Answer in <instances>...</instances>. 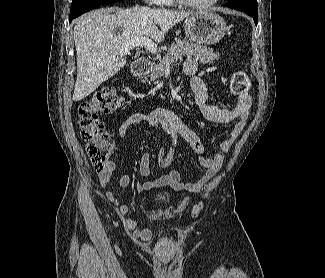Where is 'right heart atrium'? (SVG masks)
<instances>
[{
    "label": "right heart atrium",
    "mask_w": 325,
    "mask_h": 278,
    "mask_svg": "<svg viewBox=\"0 0 325 278\" xmlns=\"http://www.w3.org/2000/svg\"><path fill=\"white\" fill-rule=\"evenodd\" d=\"M144 1L151 4H162L164 2V0H144Z\"/></svg>",
    "instance_id": "right-heart-atrium-1"
}]
</instances>
